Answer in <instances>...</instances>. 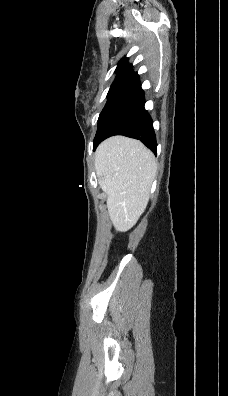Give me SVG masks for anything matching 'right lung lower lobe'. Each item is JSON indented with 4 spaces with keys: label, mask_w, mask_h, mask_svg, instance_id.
<instances>
[{
    "label": "right lung lower lobe",
    "mask_w": 228,
    "mask_h": 396,
    "mask_svg": "<svg viewBox=\"0 0 228 396\" xmlns=\"http://www.w3.org/2000/svg\"><path fill=\"white\" fill-rule=\"evenodd\" d=\"M145 97L140 81L126 87L108 106L98 120L93 148L113 135H124L140 140L156 153L157 143L153 121L144 108Z\"/></svg>",
    "instance_id": "obj_1"
}]
</instances>
